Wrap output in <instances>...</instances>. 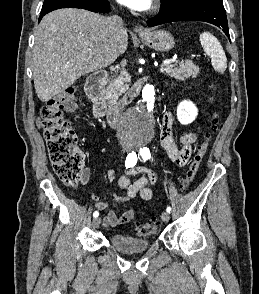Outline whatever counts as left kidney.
<instances>
[{
  "instance_id": "5707ae66",
  "label": "left kidney",
  "mask_w": 259,
  "mask_h": 294,
  "mask_svg": "<svg viewBox=\"0 0 259 294\" xmlns=\"http://www.w3.org/2000/svg\"><path fill=\"white\" fill-rule=\"evenodd\" d=\"M198 115V109L191 101H182L177 107V119L182 125L192 123Z\"/></svg>"
}]
</instances>
